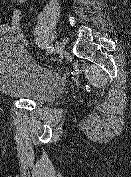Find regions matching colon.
I'll use <instances>...</instances> for the list:
<instances>
[{"label": "colon", "instance_id": "obj_1", "mask_svg": "<svg viewBox=\"0 0 131 177\" xmlns=\"http://www.w3.org/2000/svg\"><path fill=\"white\" fill-rule=\"evenodd\" d=\"M8 24L10 26L11 36L16 38L24 46L29 47V40L22 26V13L16 4L10 9Z\"/></svg>", "mask_w": 131, "mask_h": 177}]
</instances>
